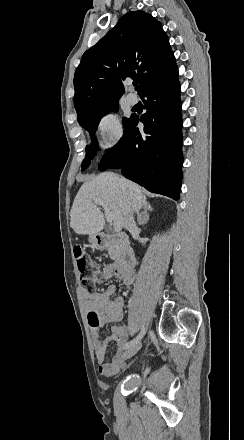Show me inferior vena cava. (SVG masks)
<instances>
[{
  "label": "inferior vena cava",
  "mask_w": 244,
  "mask_h": 440,
  "mask_svg": "<svg viewBox=\"0 0 244 440\" xmlns=\"http://www.w3.org/2000/svg\"><path fill=\"white\" fill-rule=\"evenodd\" d=\"M124 228L126 230H137V226L135 224L134 216L132 210L130 208H127L124 216V222H123Z\"/></svg>",
  "instance_id": "602c4592"
}]
</instances>
